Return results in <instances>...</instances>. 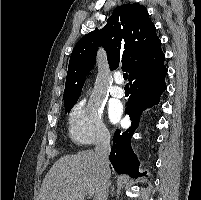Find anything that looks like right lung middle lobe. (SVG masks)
<instances>
[{"label":"right lung middle lobe","instance_id":"1","mask_svg":"<svg viewBox=\"0 0 201 200\" xmlns=\"http://www.w3.org/2000/svg\"><path fill=\"white\" fill-rule=\"evenodd\" d=\"M77 101H78V98L65 100L64 101L65 113L69 112L72 109V107L76 104Z\"/></svg>","mask_w":201,"mask_h":200}]
</instances>
